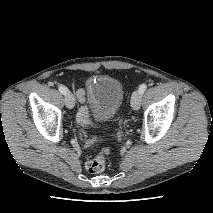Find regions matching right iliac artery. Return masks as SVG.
<instances>
[{
	"label": "right iliac artery",
	"instance_id": "82829eb1",
	"mask_svg": "<svg viewBox=\"0 0 213 213\" xmlns=\"http://www.w3.org/2000/svg\"><path fill=\"white\" fill-rule=\"evenodd\" d=\"M58 89L64 95L67 93V88L64 85H59Z\"/></svg>",
	"mask_w": 213,
	"mask_h": 213
}]
</instances>
